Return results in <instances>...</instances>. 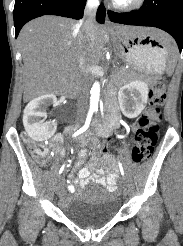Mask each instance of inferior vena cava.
<instances>
[{
    "label": "inferior vena cava",
    "mask_w": 183,
    "mask_h": 246,
    "mask_svg": "<svg viewBox=\"0 0 183 246\" xmlns=\"http://www.w3.org/2000/svg\"><path fill=\"white\" fill-rule=\"evenodd\" d=\"M99 6V0H87L84 9V18L78 23L82 32V38H90L94 33L96 25L95 16ZM81 68V78L79 80V95L77 105L80 109H85L88 95V72L89 65L86 64L83 56L79 58Z\"/></svg>",
    "instance_id": "602c4592"
}]
</instances>
